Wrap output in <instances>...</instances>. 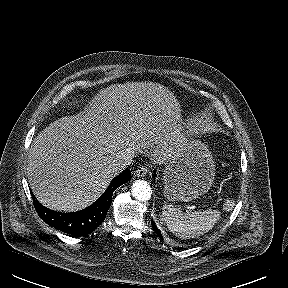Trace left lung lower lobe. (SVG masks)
<instances>
[{
	"label": "left lung lower lobe",
	"instance_id": "obj_1",
	"mask_svg": "<svg viewBox=\"0 0 288 288\" xmlns=\"http://www.w3.org/2000/svg\"><path fill=\"white\" fill-rule=\"evenodd\" d=\"M154 178L156 176V173L154 172L153 174ZM151 224H152V228L154 229V231L156 232V234L162 239V236H161V232L158 230L157 226L155 225V222L152 220L151 221Z\"/></svg>",
	"mask_w": 288,
	"mask_h": 288
}]
</instances>
